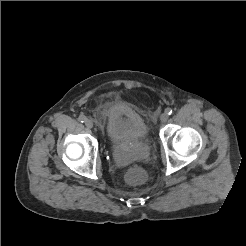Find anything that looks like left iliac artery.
Segmentation results:
<instances>
[{"instance_id":"left-iliac-artery-1","label":"left iliac artery","mask_w":246,"mask_h":246,"mask_svg":"<svg viewBox=\"0 0 246 246\" xmlns=\"http://www.w3.org/2000/svg\"><path fill=\"white\" fill-rule=\"evenodd\" d=\"M165 112H166L168 115H171V114L173 113V110H172V108H167V109L165 110Z\"/></svg>"}]
</instances>
